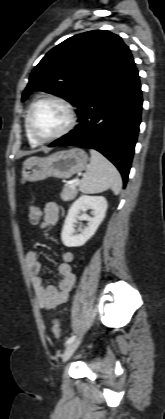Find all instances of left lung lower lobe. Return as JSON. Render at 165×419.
<instances>
[{
	"mask_svg": "<svg viewBox=\"0 0 165 419\" xmlns=\"http://www.w3.org/2000/svg\"><path fill=\"white\" fill-rule=\"evenodd\" d=\"M142 102L139 75L132 58L80 108L79 125L49 147L73 145L95 149L118 168L126 185Z\"/></svg>",
	"mask_w": 165,
	"mask_h": 419,
	"instance_id": "0a47b994",
	"label": "left lung lower lobe"
}]
</instances>
